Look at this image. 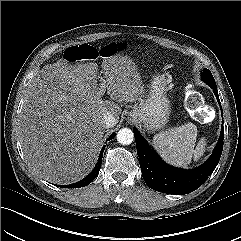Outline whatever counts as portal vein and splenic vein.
I'll return each mask as SVG.
<instances>
[{
	"label": "portal vein and splenic vein",
	"mask_w": 241,
	"mask_h": 241,
	"mask_svg": "<svg viewBox=\"0 0 241 241\" xmlns=\"http://www.w3.org/2000/svg\"><path fill=\"white\" fill-rule=\"evenodd\" d=\"M106 86H105V84L103 83V84H101V91H103V89L105 88Z\"/></svg>",
	"instance_id": "18ae733b"
}]
</instances>
